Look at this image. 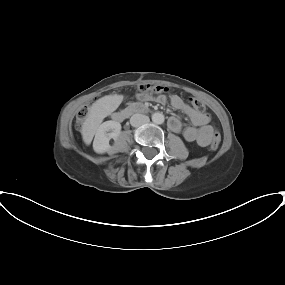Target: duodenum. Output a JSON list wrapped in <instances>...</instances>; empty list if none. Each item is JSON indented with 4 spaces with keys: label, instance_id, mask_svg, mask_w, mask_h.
I'll return each instance as SVG.
<instances>
[{
    "label": "duodenum",
    "instance_id": "410a0bca",
    "mask_svg": "<svg viewBox=\"0 0 285 285\" xmlns=\"http://www.w3.org/2000/svg\"><path fill=\"white\" fill-rule=\"evenodd\" d=\"M146 110L145 107L141 105H131L126 110L119 112L114 115V119L117 121H124L127 117L135 113H141Z\"/></svg>",
    "mask_w": 285,
    "mask_h": 285
}]
</instances>
